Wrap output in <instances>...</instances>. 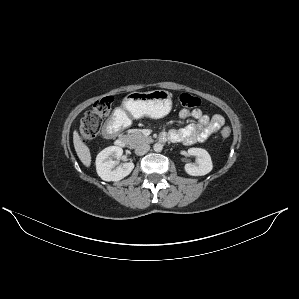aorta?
<instances>
[{"label":"aorta","mask_w":299,"mask_h":299,"mask_svg":"<svg viewBox=\"0 0 299 299\" xmlns=\"http://www.w3.org/2000/svg\"><path fill=\"white\" fill-rule=\"evenodd\" d=\"M153 149L155 152H161L162 149H163V145L160 144V143H155L154 146H153Z\"/></svg>","instance_id":"1"}]
</instances>
